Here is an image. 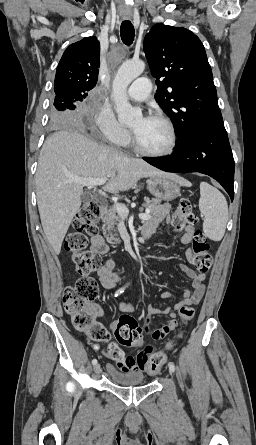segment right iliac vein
I'll use <instances>...</instances> for the list:
<instances>
[{"label":"right iliac vein","instance_id":"63e3f726","mask_svg":"<svg viewBox=\"0 0 256 445\" xmlns=\"http://www.w3.org/2000/svg\"><path fill=\"white\" fill-rule=\"evenodd\" d=\"M100 369H101V366H100L99 363H96V364L94 365V367H93V370H94L95 373H99V372H100Z\"/></svg>","mask_w":256,"mask_h":445}]
</instances>
